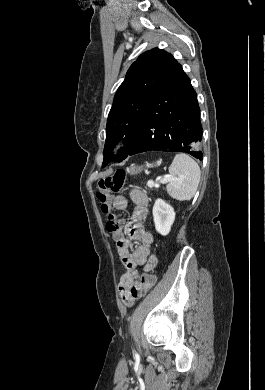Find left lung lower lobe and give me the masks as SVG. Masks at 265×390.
<instances>
[{
  "mask_svg": "<svg viewBox=\"0 0 265 390\" xmlns=\"http://www.w3.org/2000/svg\"><path fill=\"white\" fill-rule=\"evenodd\" d=\"M201 140L197 94L177 63L147 107L127 156L147 151L183 152L201 161Z\"/></svg>",
  "mask_w": 265,
  "mask_h": 390,
  "instance_id": "obj_1",
  "label": "left lung lower lobe"
}]
</instances>
